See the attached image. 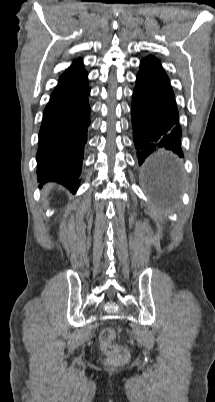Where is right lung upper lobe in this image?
Masks as SVG:
<instances>
[{"label":"right lung upper lobe","instance_id":"right-lung-upper-lobe-1","mask_svg":"<svg viewBox=\"0 0 215 402\" xmlns=\"http://www.w3.org/2000/svg\"><path fill=\"white\" fill-rule=\"evenodd\" d=\"M87 71L84 69L83 61L81 58L74 60L72 65L60 76L57 86L53 93L67 90L87 76ZM52 93V94H53Z\"/></svg>","mask_w":215,"mask_h":402}]
</instances>
